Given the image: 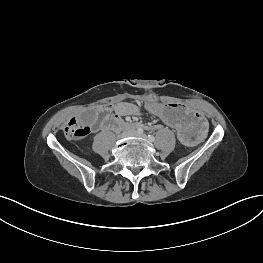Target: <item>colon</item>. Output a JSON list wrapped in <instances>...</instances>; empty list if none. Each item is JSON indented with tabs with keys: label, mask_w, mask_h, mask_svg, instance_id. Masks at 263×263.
<instances>
[{
	"label": "colon",
	"mask_w": 263,
	"mask_h": 263,
	"mask_svg": "<svg viewBox=\"0 0 263 263\" xmlns=\"http://www.w3.org/2000/svg\"><path fill=\"white\" fill-rule=\"evenodd\" d=\"M112 110V105L106 104L100 108L98 113L101 116L108 114ZM65 134L73 139L80 140L88 135L90 132V128L83 122L80 117L72 118L68 123L64 126Z\"/></svg>",
	"instance_id": "5ec220e1"
}]
</instances>
